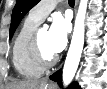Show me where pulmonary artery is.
<instances>
[{
  "label": "pulmonary artery",
  "mask_w": 107,
  "mask_h": 89,
  "mask_svg": "<svg viewBox=\"0 0 107 89\" xmlns=\"http://www.w3.org/2000/svg\"><path fill=\"white\" fill-rule=\"evenodd\" d=\"M58 2L59 0H43L30 10L29 16L41 22L55 8Z\"/></svg>",
  "instance_id": "1"
}]
</instances>
